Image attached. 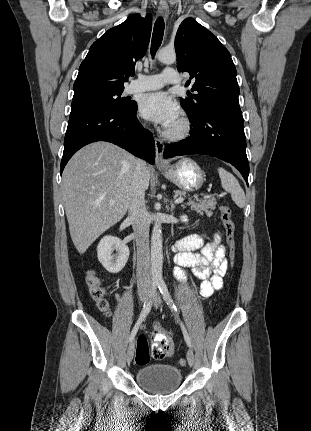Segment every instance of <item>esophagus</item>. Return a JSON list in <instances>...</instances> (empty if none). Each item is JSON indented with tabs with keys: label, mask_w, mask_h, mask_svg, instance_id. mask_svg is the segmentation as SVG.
<instances>
[{
	"label": "esophagus",
	"mask_w": 311,
	"mask_h": 431,
	"mask_svg": "<svg viewBox=\"0 0 311 431\" xmlns=\"http://www.w3.org/2000/svg\"><path fill=\"white\" fill-rule=\"evenodd\" d=\"M159 13L164 17V19H167L169 16V7L166 4H159L158 7ZM164 142L160 138H155V151H156V158L155 163L158 167H161L163 164H165V160L163 159V152H164Z\"/></svg>",
	"instance_id": "esophagus-1"
}]
</instances>
